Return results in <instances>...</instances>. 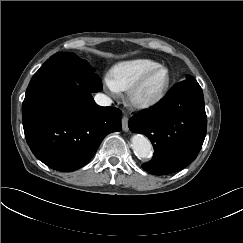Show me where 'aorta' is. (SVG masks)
<instances>
[{"mask_svg": "<svg viewBox=\"0 0 243 243\" xmlns=\"http://www.w3.org/2000/svg\"><path fill=\"white\" fill-rule=\"evenodd\" d=\"M132 149L139 158L146 159L152 154V145L150 141L143 135H134L131 139Z\"/></svg>", "mask_w": 243, "mask_h": 243, "instance_id": "obj_1", "label": "aorta"}]
</instances>
